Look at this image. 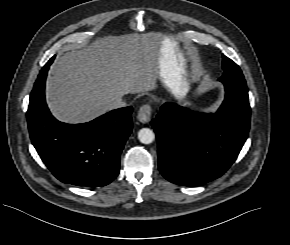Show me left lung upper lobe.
Wrapping results in <instances>:
<instances>
[{
  "label": "left lung upper lobe",
  "mask_w": 290,
  "mask_h": 245,
  "mask_svg": "<svg viewBox=\"0 0 290 245\" xmlns=\"http://www.w3.org/2000/svg\"><path fill=\"white\" fill-rule=\"evenodd\" d=\"M222 68L224 70L223 76L225 75H243L239 66L234 63L231 59L223 55Z\"/></svg>",
  "instance_id": "1"
}]
</instances>
